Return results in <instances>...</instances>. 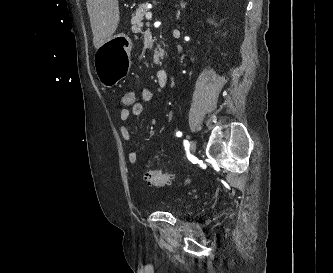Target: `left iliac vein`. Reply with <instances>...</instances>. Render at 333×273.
<instances>
[{"instance_id":"left-iliac-vein-1","label":"left iliac vein","mask_w":333,"mask_h":273,"mask_svg":"<svg viewBox=\"0 0 333 273\" xmlns=\"http://www.w3.org/2000/svg\"><path fill=\"white\" fill-rule=\"evenodd\" d=\"M190 149L193 153L196 151V143L194 141L190 142Z\"/></svg>"}]
</instances>
